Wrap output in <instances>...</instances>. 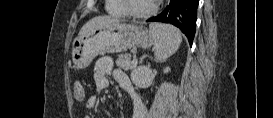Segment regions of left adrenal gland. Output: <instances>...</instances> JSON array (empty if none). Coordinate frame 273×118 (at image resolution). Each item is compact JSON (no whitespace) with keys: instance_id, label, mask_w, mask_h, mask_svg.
Here are the masks:
<instances>
[{"instance_id":"a2214340","label":"left adrenal gland","mask_w":273,"mask_h":118,"mask_svg":"<svg viewBox=\"0 0 273 118\" xmlns=\"http://www.w3.org/2000/svg\"><path fill=\"white\" fill-rule=\"evenodd\" d=\"M145 58H146V55L142 56V58L140 59V63H142Z\"/></svg>"}]
</instances>
